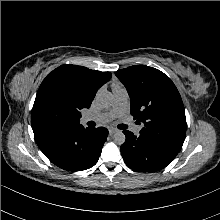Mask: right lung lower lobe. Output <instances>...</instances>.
Returning <instances> with one entry per match:
<instances>
[{
  "label": "right lung lower lobe",
  "mask_w": 220,
  "mask_h": 220,
  "mask_svg": "<svg viewBox=\"0 0 220 220\" xmlns=\"http://www.w3.org/2000/svg\"><path fill=\"white\" fill-rule=\"evenodd\" d=\"M107 136L104 127L85 129L79 125L35 135V140L53 164L64 170L81 171L97 163Z\"/></svg>",
  "instance_id": "right-lung-lower-lobe-1"
}]
</instances>
